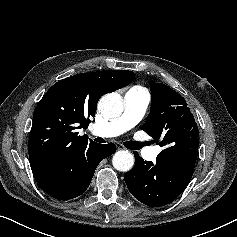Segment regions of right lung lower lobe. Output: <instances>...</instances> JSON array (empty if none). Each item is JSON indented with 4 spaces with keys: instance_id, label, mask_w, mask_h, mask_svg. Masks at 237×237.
<instances>
[{
    "instance_id": "1",
    "label": "right lung lower lobe",
    "mask_w": 237,
    "mask_h": 237,
    "mask_svg": "<svg viewBox=\"0 0 237 237\" xmlns=\"http://www.w3.org/2000/svg\"><path fill=\"white\" fill-rule=\"evenodd\" d=\"M116 151L113 143L82 145L54 165L33 171L38 185L50 196L67 200L80 196L89 186L95 169Z\"/></svg>"
}]
</instances>
